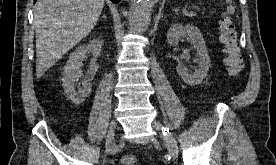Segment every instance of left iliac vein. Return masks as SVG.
I'll return each instance as SVG.
<instances>
[{"instance_id": "left-iliac-vein-1", "label": "left iliac vein", "mask_w": 276, "mask_h": 165, "mask_svg": "<svg viewBox=\"0 0 276 165\" xmlns=\"http://www.w3.org/2000/svg\"><path fill=\"white\" fill-rule=\"evenodd\" d=\"M152 125L156 131L162 130L161 124L159 122L154 121ZM162 132L164 134V141L168 147L171 157L176 159L178 157V146L173 134L171 132H164L163 130Z\"/></svg>"}]
</instances>
